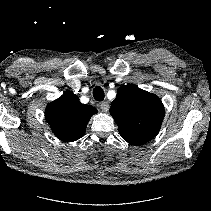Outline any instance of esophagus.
<instances>
[{
  "label": "esophagus",
  "mask_w": 211,
  "mask_h": 211,
  "mask_svg": "<svg viewBox=\"0 0 211 211\" xmlns=\"http://www.w3.org/2000/svg\"><path fill=\"white\" fill-rule=\"evenodd\" d=\"M100 108L103 112H107L109 110V103L107 101L100 103Z\"/></svg>",
  "instance_id": "obj_1"
}]
</instances>
